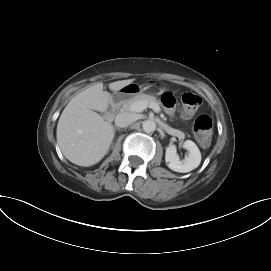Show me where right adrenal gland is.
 <instances>
[{
  "label": "right adrenal gland",
  "mask_w": 271,
  "mask_h": 271,
  "mask_svg": "<svg viewBox=\"0 0 271 271\" xmlns=\"http://www.w3.org/2000/svg\"><path fill=\"white\" fill-rule=\"evenodd\" d=\"M115 129H116V130H119V128H116V127H115Z\"/></svg>",
  "instance_id": "2a0ac1e0"
}]
</instances>
